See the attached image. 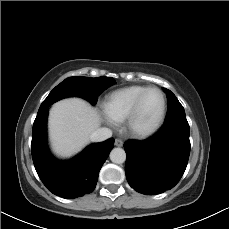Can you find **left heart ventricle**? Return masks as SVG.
<instances>
[{
    "label": "left heart ventricle",
    "instance_id": "left-heart-ventricle-1",
    "mask_svg": "<svg viewBox=\"0 0 229 229\" xmlns=\"http://www.w3.org/2000/svg\"><path fill=\"white\" fill-rule=\"evenodd\" d=\"M162 99L157 91L149 92L143 99L137 118V126L145 128L151 125L158 117Z\"/></svg>",
    "mask_w": 229,
    "mask_h": 229
}]
</instances>
